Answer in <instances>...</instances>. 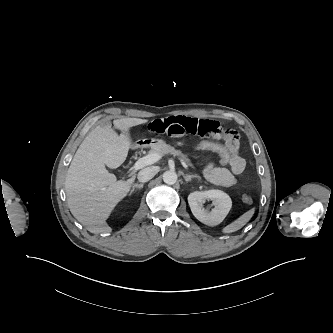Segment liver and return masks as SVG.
I'll use <instances>...</instances> for the list:
<instances>
[{
  "instance_id": "obj_1",
  "label": "liver",
  "mask_w": 333,
  "mask_h": 333,
  "mask_svg": "<svg viewBox=\"0 0 333 333\" xmlns=\"http://www.w3.org/2000/svg\"><path fill=\"white\" fill-rule=\"evenodd\" d=\"M146 119L122 118L113 121L120 136L111 125L97 126L77 149L65 178L68 207L72 215L93 234H108L112 228L106 220L114 207L127 196L135 180H119L109 168H118L134 143L129 130L147 123Z\"/></svg>"
}]
</instances>
